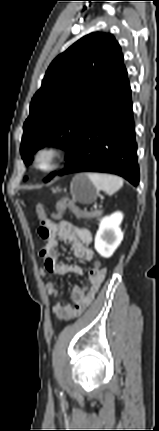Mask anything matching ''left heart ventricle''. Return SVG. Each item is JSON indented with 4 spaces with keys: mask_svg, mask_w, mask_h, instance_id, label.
Masks as SVG:
<instances>
[{
    "mask_svg": "<svg viewBox=\"0 0 159 431\" xmlns=\"http://www.w3.org/2000/svg\"><path fill=\"white\" fill-rule=\"evenodd\" d=\"M40 163L42 166H47L49 163L48 157L47 156L42 157Z\"/></svg>",
    "mask_w": 159,
    "mask_h": 431,
    "instance_id": "b2bd125f",
    "label": "left heart ventricle"
}]
</instances>
